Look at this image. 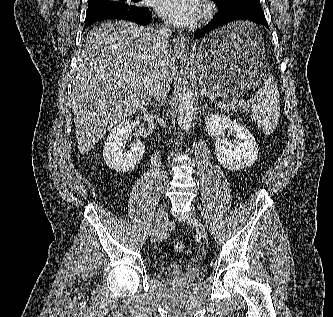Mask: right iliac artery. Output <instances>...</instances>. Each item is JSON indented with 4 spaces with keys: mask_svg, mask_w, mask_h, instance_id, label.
<instances>
[{
    "mask_svg": "<svg viewBox=\"0 0 333 317\" xmlns=\"http://www.w3.org/2000/svg\"><path fill=\"white\" fill-rule=\"evenodd\" d=\"M166 236H167V235L165 234V235L162 237V239H163V238H166Z\"/></svg>",
    "mask_w": 333,
    "mask_h": 317,
    "instance_id": "right-iliac-artery-1",
    "label": "right iliac artery"
}]
</instances>
